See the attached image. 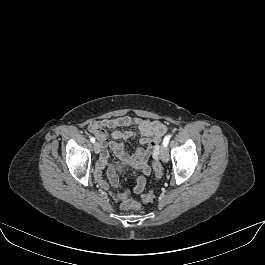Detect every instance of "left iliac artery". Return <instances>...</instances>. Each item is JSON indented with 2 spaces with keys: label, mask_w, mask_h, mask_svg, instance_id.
I'll return each mask as SVG.
<instances>
[{
  "label": "left iliac artery",
  "mask_w": 265,
  "mask_h": 265,
  "mask_svg": "<svg viewBox=\"0 0 265 265\" xmlns=\"http://www.w3.org/2000/svg\"><path fill=\"white\" fill-rule=\"evenodd\" d=\"M170 138H171V135H167V136H165V138H164V140H163V145H164L165 147H167V145H168V143H169V141H170Z\"/></svg>",
  "instance_id": "left-iliac-artery-1"
}]
</instances>
